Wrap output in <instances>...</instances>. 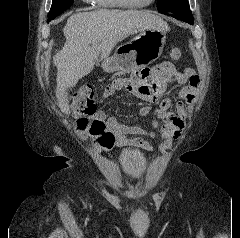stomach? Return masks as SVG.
Returning a JSON list of instances; mask_svg holds the SVG:
<instances>
[{
  "label": "stomach",
  "mask_w": 240,
  "mask_h": 238,
  "mask_svg": "<svg viewBox=\"0 0 240 238\" xmlns=\"http://www.w3.org/2000/svg\"><path fill=\"white\" fill-rule=\"evenodd\" d=\"M166 32L163 28L141 31L130 42L119 46L112 57L104 60L103 69L106 72H131L153 63L162 54Z\"/></svg>",
  "instance_id": "stomach-1"
}]
</instances>
